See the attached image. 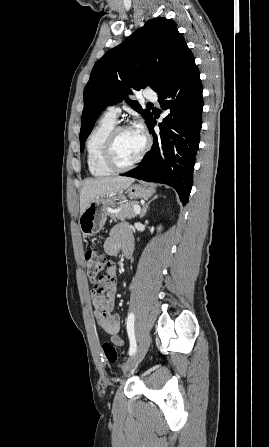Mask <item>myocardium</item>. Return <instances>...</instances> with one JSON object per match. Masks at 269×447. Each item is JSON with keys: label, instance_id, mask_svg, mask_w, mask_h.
<instances>
[{"label": "myocardium", "instance_id": "1", "mask_svg": "<svg viewBox=\"0 0 269 447\" xmlns=\"http://www.w3.org/2000/svg\"><path fill=\"white\" fill-rule=\"evenodd\" d=\"M130 127H132V126L129 124L116 125L110 131V133L108 134V136L106 138L105 145H104L103 159H104V162L115 171H124V170H129V169L133 168L134 166L139 164L145 158V156L151 149V146H152L151 137L147 133H144L145 137H146V144H145V147L142 150V152L139 154V156L133 162H131L129 164H121L117 161L116 154H115L116 138L121 131L128 129Z\"/></svg>", "mask_w": 269, "mask_h": 447}]
</instances>
